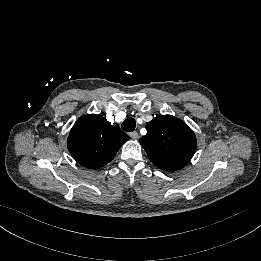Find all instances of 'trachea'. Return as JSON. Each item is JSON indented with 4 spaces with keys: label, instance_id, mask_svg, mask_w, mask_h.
<instances>
[{
    "label": "trachea",
    "instance_id": "trachea-1",
    "mask_svg": "<svg viewBox=\"0 0 261 261\" xmlns=\"http://www.w3.org/2000/svg\"><path fill=\"white\" fill-rule=\"evenodd\" d=\"M136 127V122L133 118L128 117L123 123H122V129L126 132H132L134 131Z\"/></svg>",
    "mask_w": 261,
    "mask_h": 261
}]
</instances>
